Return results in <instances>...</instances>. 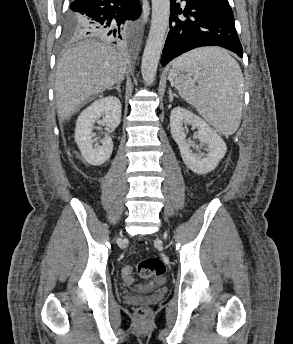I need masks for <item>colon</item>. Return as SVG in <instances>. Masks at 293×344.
<instances>
[{"label": "colon", "mask_w": 293, "mask_h": 344, "mask_svg": "<svg viewBox=\"0 0 293 344\" xmlns=\"http://www.w3.org/2000/svg\"><path fill=\"white\" fill-rule=\"evenodd\" d=\"M137 273L141 278L152 279L161 278L166 271L165 263L157 257H150L140 261L136 267ZM133 269L130 266H125L122 270V275L125 280H132ZM148 310L145 307L137 309V316L145 318Z\"/></svg>", "instance_id": "5ec220e1"}]
</instances>
